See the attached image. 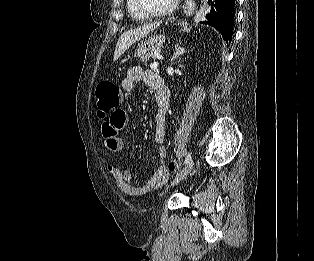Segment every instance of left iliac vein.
I'll return each mask as SVG.
<instances>
[{
	"label": "left iliac vein",
	"instance_id": "1",
	"mask_svg": "<svg viewBox=\"0 0 314 261\" xmlns=\"http://www.w3.org/2000/svg\"><path fill=\"white\" fill-rule=\"evenodd\" d=\"M194 166V160L191 159L189 162L184 166V168L179 172V174L174 178L172 185L178 184L182 181L192 170Z\"/></svg>",
	"mask_w": 314,
	"mask_h": 261
}]
</instances>
